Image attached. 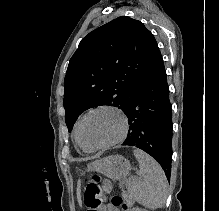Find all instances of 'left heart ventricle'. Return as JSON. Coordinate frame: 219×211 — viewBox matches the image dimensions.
<instances>
[{"mask_svg": "<svg viewBox=\"0 0 219 211\" xmlns=\"http://www.w3.org/2000/svg\"><path fill=\"white\" fill-rule=\"evenodd\" d=\"M121 128L122 120L117 113L100 110L85 119L81 131L82 141L87 147H96L116 138Z\"/></svg>", "mask_w": 219, "mask_h": 211, "instance_id": "left-heart-ventricle-1", "label": "left heart ventricle"}]
</instances>
